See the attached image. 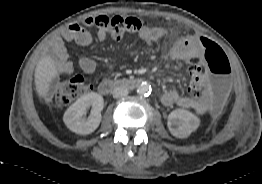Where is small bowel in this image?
<instances>
[{
  "mask_svg": "<svg viewBox=\"0 0 262 184\" xmlns=\"http://www.w3.org/2000/svg\"><path fill=\"white\" fill-rule=\"evenodd\" d=\"M86 20H89L87 18ZM85 23V21H84ZM166 35V30L159 26L146 27L140 32V38L147 44L152 45L161 40ZM99 41L106 39V33L102 30L97 31ZM198 37L187 35L178 39L170 49V57L176 60H188L185 64V73L188 79V89L193 94H199L204 89V81L209 75V70L205 66L207 60L203 58L200 51L195 46ZM63 39L73 41L81 46H89L92 38L79 24H71L62 32V38L54 41L53 49L56 57V68L61 74H71L74 66L69 60V55L63 44ZM79 68L91 74L96 69L95 62L88 57H83L78 62ZM161 101L166 106L177 105L185 109H191L197 114H204L208 108L204 98H194L181 95L175 90L165 91Z\"/></svg>",
  "mask_w": 262,
  "mask_h": 184,
  "instance_id": "small-bowel-1",
  "label": "small bowel"
}]
</instances>
